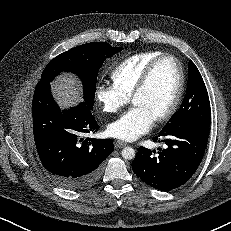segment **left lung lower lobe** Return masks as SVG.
<instances>
[{"mask_svg": "<svg viewBox=\"0 0 231 231\" xmlns=\"http://www.w3.org/2000/svg\"><path fill=\"white\" fill-rule=\"evenodd\" d=\"M209 131V126L193 124L160 131L153 141L163 142L165 148H159L156 153L155 150L139 147L132 162L133 172L157 190L167 192L179 188L193 176L200 165Z\"/></svg>", "mask_w": 231, "mask_h": 231, "instance_id": "0a47b994", "label": "left lung lower lobe"}]
</instances>
